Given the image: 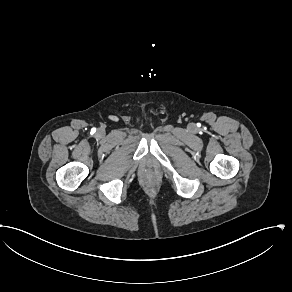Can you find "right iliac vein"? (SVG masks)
Listing matches in <instances>:
<instances>
[{"label":"right iliac vein","mask_w":292,"mask_h":292,"mask_svg":"<svg viewBox=\"0 0 292 292\" xmlns=\"http://www.w3.org/2000/svg\"><path fill=\"white\" fill-rule=\"evenodd\" d=\"M99 132H100V133H103V130H100Z\"/></svg>","instance_id":"63e3f726"}]
</instances>
